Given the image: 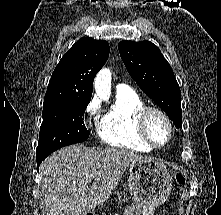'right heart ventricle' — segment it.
Instances as JSON below:
<instances>
[{
    "instance_id": "obj_1",
    "label": "right heart ventricle",
    "mask_w": 221,
    "mask_h": 215,
    "mask_svg": "<svg viewBox=\"0 0 221 215\" xmlns=\"http://www.w3.org/2000/svg\"><path fill=\"white\" fill-rule=\"evenodd\" d=\"M144 106V100L135 91H117L114 104L98 125L100 139L113 147L150 152L152 147L141 138L137 128V116Z\"/></svg>"
}]
</instances>
